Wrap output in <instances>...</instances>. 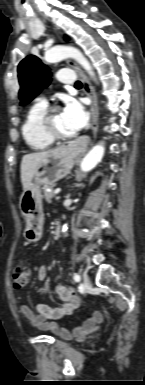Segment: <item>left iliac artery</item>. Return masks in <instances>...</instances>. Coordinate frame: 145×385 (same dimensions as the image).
I'll use <instances>...</instances> for the list:
<instances>
[{
    "instance_id": "44dca946",
    "label": "left iliac artery",
    "mask_w": 145,
    "mask_h": 385,
    "mask_svg": "<svg viewBox=\"0 0 145 385\" xmlns=\"http://www.w3.org/2000/svg\"><path fill=\"white\" fill-rule=\"evenodd\" d=\"M74 280H75L76 282H79V281H80V275L77 274V273H75V274H74Z\"/></svg>"
}]
</instances>
